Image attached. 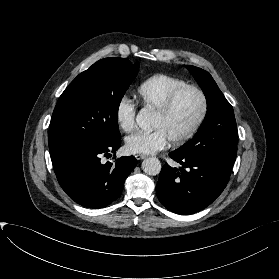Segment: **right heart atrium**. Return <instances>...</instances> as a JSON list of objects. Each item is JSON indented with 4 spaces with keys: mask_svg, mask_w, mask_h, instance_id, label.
<instances>
[{
    "mask_svg": "<svg viewBox=\"0 0 279 279\" xmlns=\"http://www.w3.org/2000/svg\"><path fill=\"white\" fill-rule=\"evenodd\" d=\"M115 120L123 132H131L136 122V106L127 97H122L115 109Z\"/></svg>",
    "mask_w": 279,
    "mask_h": 279,
    "instance_id": "right-heart-atrium-1",
    "label": "right heart atrium"
}]
</instances>
